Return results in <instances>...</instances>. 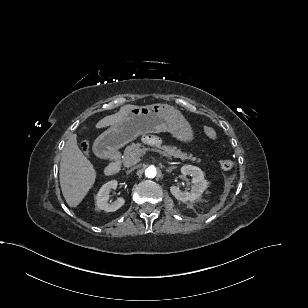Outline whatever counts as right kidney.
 <instances>
[{
  "mask_svg": "<svg viewBox=\"0 0 308 308\" xmlns=\"http://www.w3.org/2000/svg\"><path fill=\"white\" fill-rule=\"evenodd\" d=\"M117 185L118 182L116 180H111L100 188L96 195V206L98 209L106 212H114L124 205L125 200L121 197L117 198V200L112 203L108 202L111 189H116Z\"/></svg>",
  "mask_w": 308,
  "mask_h": 308,
  "instance_id": "1",
  "label": "right kidney"
}]
</instances>
